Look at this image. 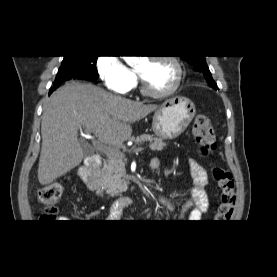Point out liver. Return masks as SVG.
Segmentation results:
<instances>
[{"instance_id":"1","label":"liver","mask_w":277,"mask_h":277,"mask_svg":"<svg viewBox=\"0 0 277 277\" xmlns=\"http://www.w3.org/2000/svg\"><path fill=\"white\" fill-rule=\"evenodd\" d=\"M157 108L111 95L92 84L71 82L60 87L44 106L39 183L50 184L81 163L79 127L93 133L100 143L116 149L131 137V123Z\"/></svg>"}]
</instances>
